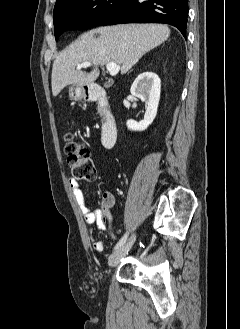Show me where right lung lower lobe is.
<instances>
[{
  "instance_id": "1",
  "label": "right lung lower lobe",
  "mask_w": 240,
  "mask_h": 329,
  "mask_svg": "<svg viewBox=\"0 0 240 329\" xmlns=\"http://www.w3.org/2000/svg\"><path fill=\"white\" fill-rule=\"evenodd\" d=\"M188 11L187 0H126L101 25L165 23L186 37Z\"/></svg>"
}]
</instances>
